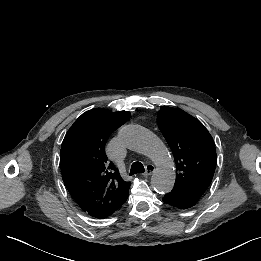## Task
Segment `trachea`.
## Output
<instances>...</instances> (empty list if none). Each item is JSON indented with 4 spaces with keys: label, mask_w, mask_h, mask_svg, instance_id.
<instances>
[{
    "label": "trachea",
    "mask_w": 261,
    "mask_h": 261,
    "mask_svg": "<svg viewBox=\"0 0 261 261\" xmlns=\"http://www.w3.org/2000/svg\"><path fill=\"white\" fill-rule=\"evenodd\" d=\"M144 172H145V168H144L143 164L139 161H136L131 165L129 175L132 176L134 174L144 173Z\"/></svg>",
    "instance_id": "1"
}]
</instances>
